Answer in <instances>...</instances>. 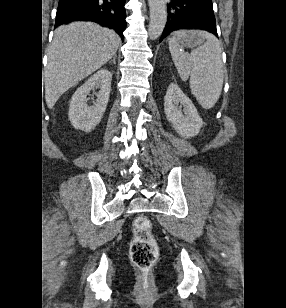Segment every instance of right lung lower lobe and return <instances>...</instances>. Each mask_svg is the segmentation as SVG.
<instances>
[{
    "label": "right lung lower lobe",
    "instance_id": "right-lung-lower-lobe-1",
    "mask_svg": "<svg viewBox=\"0 0 286 308\" xmlns=\"http://www.w3.org/2000/svg\"><path fill=\"white\" fill-rule=\"evenodd\" d=\"M126 0H59L55 27L72 21H93L115 29L124 40Z\"/></svg>",
    "mask_w": 286,
    "mask_h": 308
}]
</instances>
